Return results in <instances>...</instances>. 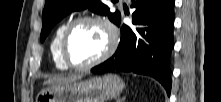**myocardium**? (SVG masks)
<instances>
[{
    "label": "myocardium",
    "mask_w": 221,
    "mask_h": 102,
    "mask_svg": "<svg viewBox=\"0 0 221 102\" xmlns=\"http://www.w3.org/2000/svg\"><path fill=\"white\" fill-rule=\"evenodd\" d=\"M83 22L96 23L102 26L107 33L108 42L103 53L99 57H97L95 60L87 64L77 65V64L72 63L70 59L68 58L67 43H68V39L73 28L76 25L83 23ZM118 41H119V38H118V33L116 31V28L114 27V25L108 18L101 16V15H97V14L81 15L71 20L63 32V36L60 42L61 58L68 68H72L75 70H88L106 61L116 50Z\"/></svg>",
    "instance_id": "1"
}]
</instances>
